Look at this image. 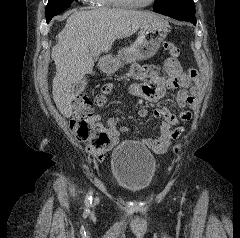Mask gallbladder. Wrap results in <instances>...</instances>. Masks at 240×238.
<instances>
[{
  "label": "gallbladder",
  "mask_w": 240,
  "mask_h": 238,
  "mask_svg": "<svg viewBox=\"0 0 240 238\" xmlns=\"http://www.w3.org/2000/svg\"><path fill=\"white\" fill-rule=\"evenodd\" d=\"M82 88H83V82H78L74 85V92L77 94V92Z\"/></svg>",
  "instance_id": "1"
}]
</instances>
